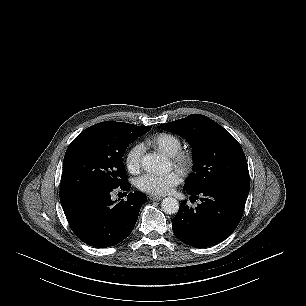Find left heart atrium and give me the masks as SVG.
<instances>
[{
    "label": "left heart atrium",
    "mask_w": 306,
    "mask_h": 306,
    "mask_svg": "<svg viewBox=\"0 0 306 306\" xmlns=\"http://www.w3.org/2000/svg\"><path fill=\"white\" fill-rule=\"evenodd\" d=\"M181 180V174L176 170L165 174L147 173L138 179L137 186L143 192L164 195L170 193Z\"/></svg>",
    "instance_id": "left-heart-atrium-1"
}]
</instances>
